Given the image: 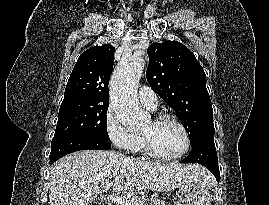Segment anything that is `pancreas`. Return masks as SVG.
I'll return each mask as SVG.
<instances>
[{
	"label": "pancreas",
	"mask_w": 269,
	"mask_h": 205,
	"mask_svg": "<svg viewBox=\"0 0 269 205\" xmlns=\"http://www.w3.org/2000/svg\"><path fill=\"white\" fill-rule=\"evenodd\" d=\"M134 194L129 197V200L133 203V205H148L146 202V199L144 197H141L138 193V191H133ZM157 205H161L160 203Z\"/></svg>",
	"instance_id": "obj_1"
}]
</instances>
